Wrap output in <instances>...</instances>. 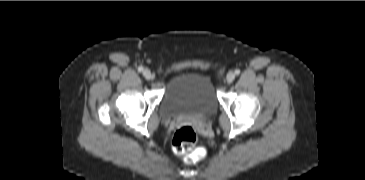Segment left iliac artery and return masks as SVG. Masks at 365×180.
I'll list each match as a JSON object with an SVG mask.
<instances>
[{
    "label": "left iliac artery",
    "mask_w": 365,
    "mask_h": 180,
    "mask_svg": "<svg viewBox=\"0 0 365 180\" xmlns=\"http://www.w3.org/2000/svg\"><path fill=\"white\" fill-rule=\"evenodd\" d=\"M235 74H236V75H239V74H240V70H239V69H236V70H235Z\"/></svg>",
    "instance_id": "left-iliac-artery-1"
}]
</instances>
